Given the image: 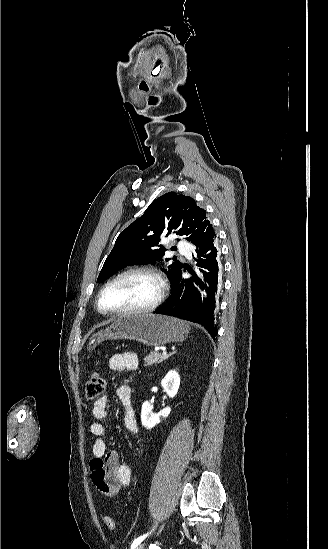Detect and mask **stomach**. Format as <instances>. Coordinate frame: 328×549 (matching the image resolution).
<instances>
[{"instance_id": "obj_1", "label": "stomach", "mask_w": 328, "mask_h": 549, "mask_svg": "<svg viewBox=\"0 0 328 549\" xmlns=\"http://www.w3.org/2000/svg\"><path fill=\"white\" fill-rule=\"evenodd\" d=\"M186 321L167 317V315H153V313H129L115 319L104 331L92 335L88 343V351H94L102 341L115 339H132L149 347H159L166 343H182L189 333Z\"/></svg>"}]
</instances>
